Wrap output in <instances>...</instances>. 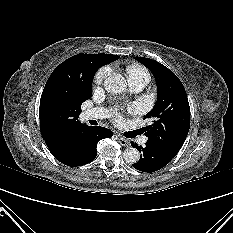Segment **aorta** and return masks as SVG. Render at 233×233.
Listing matches in <instances>:
<instances>
[{
  "instance_id": "obj_1",
  "label": "aorta",
  "mask_w": 233,
  "mask_h": 233,
  "mask_svg": "<svg viewBox=\"0 0 233 233\" xmlns=\"http://www.w3.org/2000/svg\"><path fill=\"white\" fill-rule=\"evenodd\" d=\"M104 88L107 92L112 94L122 93L126 88V80L119 73L111 74L105 79ZM123 158L126 163L134 164L138 162L140 153L137 149L129 147L124 150Z\"/></svg>"
}]
</instances>
